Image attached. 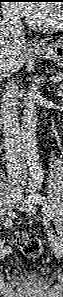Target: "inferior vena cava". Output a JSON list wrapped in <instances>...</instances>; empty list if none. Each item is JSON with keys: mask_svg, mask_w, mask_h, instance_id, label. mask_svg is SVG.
I'll list each match as a JSON object with an SVG mask.
<instances>
[{"mask_svg": "<svg viewBox=\"0 0 63 297\" xmlns=\"http://www.w3.org/2000/svg\"><path fill=\"white\" fill-rule=\"evenodd\" d=\"M1 35H10L16 41L24 38V29L19 16L6 12L0 23ZM7 76V75H4ZM13 82L5 85L1 100V117L4 128V145L6 149L7 167L10 173L24 182L27 174L25 157L19 127L17 105Z\"/></svg>", "mask_w": 63, "mask_h": 297, "instance_id": "1", "label": "inferior vena cava"}]
</instances>
